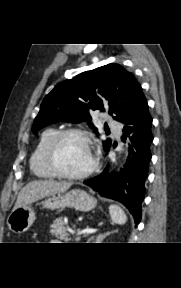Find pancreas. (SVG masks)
I'll list each match as a JSON object with an SVG mask.
<instances>
[{"instance_id":"1","label":"pancreas","mask_w":181,"mask_h":288,"mask_svg":"<svg viewBox=\"0 0 181 288\" xmlns=\"http://www.w3.org/2000/svg\"><path fill=\"white\" fill-rule=\"evenodd\" d=\"M50 233L52 236L57 237L60 240L68 242L70 239L67 237V229L65 227V223L61 217L54 220V222L50 225ZM76 241L80 240V237L75 238Z\"/></svg>"}]
</instances>
